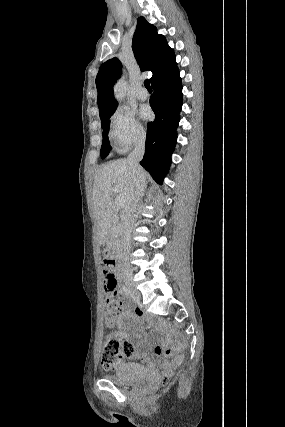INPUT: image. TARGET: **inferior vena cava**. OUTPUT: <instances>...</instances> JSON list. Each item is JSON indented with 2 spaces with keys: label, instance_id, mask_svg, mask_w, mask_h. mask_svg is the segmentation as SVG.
I'll list each match as a JSON object with an SVG mask.
<instances>
[{
  "label": "inferior vena cava",
  "instance_id": "1",
  "mask_svg": "<svg viewBox=\"0 0 285 427\" xmlns=\"http://www.w3.org/2000/svg\"><path fill=\"white\" fill-rule=\"evenodd\" d=\"M145 152V136L139 137L135 142L134 150L128 155L127 162L133 176V190L127 205L123 211V226H122V248L124 252L123 271L131 273L130 264L127 259L131 249V233L135 223V209L143 196L145 187V176L139 162L142 160Z\"/></svg>",
  "mask_w": 285,
  "mask_h": 427
}]
</instances>
